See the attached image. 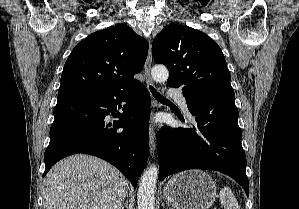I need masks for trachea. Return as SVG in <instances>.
I'll list each match as a JSON object with an SVG mask.
<instances>
[{
	"mask_svg": "<svg viewBox=\"0 0 299 209\" xmlns=\"http://www.w3.org/2000/svg\"><path fill=\"white\" fill-rule=\"evenodd\" d=\"M152 95L159 101H168L165 97L159 94L152 86L149 87Z\"/></svg>",
	"mask_w": 299,
	"mask_h": 209,
	"instance_id": "3493384b",
	"label": "trachea"
}]
</instances>
